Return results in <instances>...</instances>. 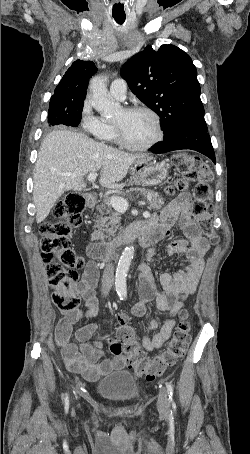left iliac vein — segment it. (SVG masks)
<instances>
[{
    "label": "left iliac vein",
    "mask_w": 250,
    "mask_h": 454,
    "mask_svg": "<svg viewBox=\"0 0 250 454\" xmlns=\"http://www.w3.org/2000/svg\"><path fill=\"white\" fill-rule=\"evenodd\" d=\"M157 407L160 413L167 414L169 410V399L165 389H160L159 391Z\"/></svg>",
    "instance_id": "obj_1"
}]
</instances>
